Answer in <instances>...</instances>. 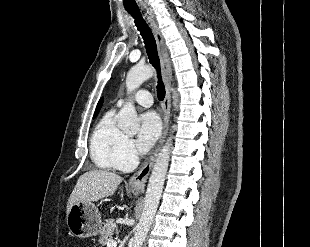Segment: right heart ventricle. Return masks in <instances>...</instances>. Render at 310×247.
Listing matches in <instances>:
<instances>
[{
  "mask_svg": "<svg viewBox=\"0 0 310 247\" xmlns=\"http://www.w3.org/2000/svg\"><path fill=\"white\" fill-rule=\"evenodd\" d=\"M125 135L115 120V110L104 113L96 124L90 138V156L93 163L101 169L119 168V159Z\"/></svg>",
  "mask_w": 310,
  "mask_h": 247,
  "instance_id": "right-heart-ventricle-1",
  "label": "right heart ventricle"
}]
</instances>
